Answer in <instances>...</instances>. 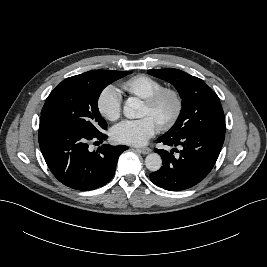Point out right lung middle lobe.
<instances>
[{
  "label": "right lung middle lobe",
  "mask_w": 267,
  "mask_h": 267,
  "mask_svg": "<svg viewBox=\"0 0 267 267\" xmlns=\"http://www.w3.org/2000/svg\"><path fill=\"white\" fill-rule=\"evenodd\" d=\"M130 72L94 70L62 81L48 96L41 118H50L89 134H100L107 123L98 110V98L110 83Z\"/></svg>",
  "instance_id": "obj_1"
}]
</instances>
